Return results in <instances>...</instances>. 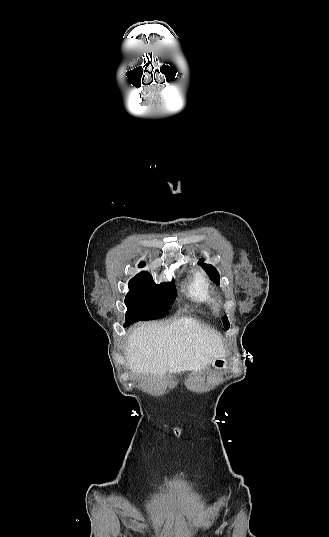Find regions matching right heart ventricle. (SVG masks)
<instances>
[{"mask_svg": "<svg viewBox=\"0 0 329 537\" xmlns=\"http://www.w3.org/2000/svg\"><path fill=\"white\" fill-rule=\"evenodd\" d=\"M186 290L189 297L196 302L220 306V296L208 280L205 273L199 269L192 272L190 279L186 284Z\"/></svg>", "mask_w": 329, "mask_h": 537, "instance_id": "right-heart-ventricle-1", "label": "right heart ventricle"}]
</instances>
